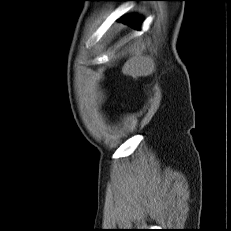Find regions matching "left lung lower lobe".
Wrapping results in <instances>:
<instances>
[{
	"mask_svg": "<svg viewBox=\"0 0 231 231\" xmlns=\"http://www.w3.org/2000/svg\"><path fill=\"white\" fill-rule=\"evenodd\" d=\"M121 21L126 23V24L133 26L136 29H139L140 24H141V20L139 18H136V17L124 18Z\"/></svg>",
	"mask_w": 231,
	"mask_h": 231,
	"instance_id": "obj_1",
	"label": "left lung lower lobe"
}]
</instances>
